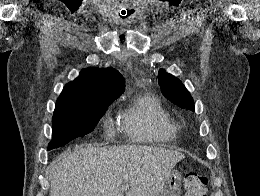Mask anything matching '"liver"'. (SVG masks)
Segmentation results:
<instances>
[{
    "mask_svg": "<svg viewBox=\"0 0 260 196\" xmlns=\"http://www.w3.org/2000/svg\"><path fill=\"white\" fill-rule=\"evenodd\" d=\"M177 150L152 146H77L52 162L50 196H159L171 172L184 160Z\"/></svg>",
    "mask_w": 260,
    "mask_h": 196,
    "instance_id": "6515ba94",
    "label": "liver"
}]
</instances>
